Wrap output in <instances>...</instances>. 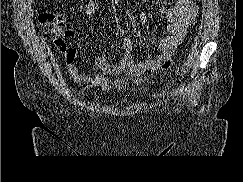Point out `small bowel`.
<instances>
[{"label": "small bowel", "instance_id": "c3829d8e", "mask_svg": "<svg viewBox=\"0 0 243 182\" xmlns=\"http://www.w3.org/2000/svg\"><path fill=\"white\" fill-rule=\"evenodd\" d=\"M99 0H88L82 7V13L92 17L100 11ZM152 9L147 5L139 16V23L143 25L147 13ZM158 11L165 16L167 24L166 34L158 40L161 50L157 58L135 59L132 55L134 42L130 37L123 40L125 54L118 63L111 64L105 56L94 60V67L97 72L89 75L83 72L76 63V51L70 50L65 56V65L68 74L72 79L84 88H98L108 92L111 85L117 90H126L130 82L140 84L142 75L159 68L164 59L169 58L177 46L187 35L190 26L196 19L197 6L191 0H176L172 6H160Z\"/></svg>", "mask_w": 243, "mask_h": 182}]
</instances>
